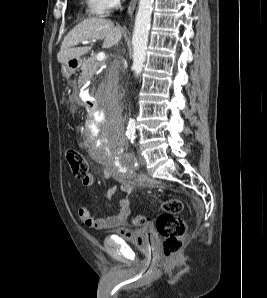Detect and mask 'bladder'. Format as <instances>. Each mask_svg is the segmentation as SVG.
Segmentation results:
<instances>
[{
    "mask_svg": "<svg viewBox=\"0 0 267 298\" xmlns=\"http://www.w3.org/2000/svg\"><path fill=\"white\" fill-rule=\"evenodd\" d=\"M118 236L142 250H149L155 245L157 240L155 232L150 225L133 230L130 235L121 234Z\"/></svg>",
    "mask_w": 267,
    "mask_h": 298,
    "instance_id": "bladder-1",
    "label": "bladder"
}]
</instances>
